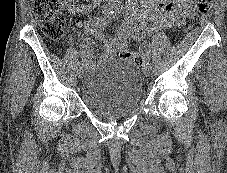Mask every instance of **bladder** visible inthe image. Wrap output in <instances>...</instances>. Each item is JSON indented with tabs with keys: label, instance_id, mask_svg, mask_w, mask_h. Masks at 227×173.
Instances as JSON below:
<instances>
[{
	"label": "bladder",
	"instance_id": "obj_1",
	"mask_svg": "<svg viewBox=\"0 0 227 173\" xmlns=\"http://www.w3.org/2000/svg\"><path fill=\"white\" fill-rule=\"evenodd\" d=\"M139 68L126 60L108 59L84 77L80 98L86 108L103 119H120L133 114L143 100Z\"/></svg>",
	"mask_w": 227,
	"mask_h": 173
}]
</instances>
